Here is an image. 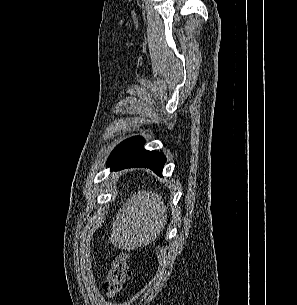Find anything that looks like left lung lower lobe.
<instances>
[{"mask_svg":"<svg viewBox=\"0 0 297 305\" xmlns=\"http://www.w3.org/2000/svg\"><path fill=\"white\" fill-rule=\"evenodd\" d=\"M144 140L141 137H132L123 141L110 154L107 166L111 170H122L132 167L150 168L156 174L162 176L165 164L163 153L148 151L143 148Z\"/></svg>","mask_w":297,"mask_h":305,"instance_id":"left-lung-lower-lobe-1","label":"left lung lower lobe"}]
</instances>
